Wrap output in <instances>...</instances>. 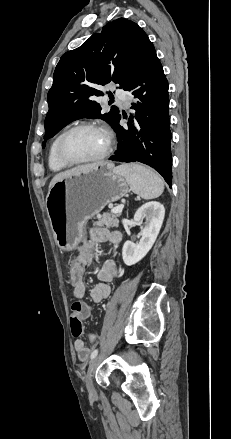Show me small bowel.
Masks as SVG:
<instances>
[{
    "label": "small bowel",
    "mask_w": 231,
    "mask_h": 439,
    "mask_svg": "<svg viewBox=\"0 0 231 439\" xmlns=\"http://www.w3.org/2000/svg\"><path fill=\"white\" fill-rule=\"evenodd\" d=\"M109 242L113 247L114 255L118 253L122 242V235L118 231H109L104 228H95L91 231L90 240L82 243L78 256L76 259L80 260L86 267L90 264L96 253L97 248L101 243ZM70 275V274H69ZM121 276V269L114 258L107 259L97 272V283L90 290V297L93 302L100 303L107 299L111 293L110 283ZM88 283H75L73 295L77 302L72 305V312L77 313L80 318H88L92 312L93 307L81 301L82 298L88 296ZM96 336L93 333H88V340L93 343ZM74 349L80 361L85 362L91 352L89 345L82 339H76L74 342Z\"/></svg>",
    "instance_id": "obj_1"
}]
</instances>
